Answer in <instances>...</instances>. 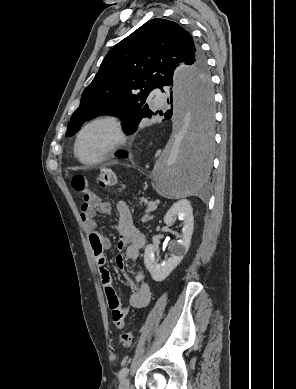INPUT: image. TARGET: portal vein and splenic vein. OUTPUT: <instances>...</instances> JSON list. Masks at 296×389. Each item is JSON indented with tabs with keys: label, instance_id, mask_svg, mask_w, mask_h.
Masks as SVG:
<instances>
[{
	"label": "portal vein and splenic vein",
	"instance_id": "portal-vein-and-splenic-vein-1",
	"mask_svg": "<svg viewBox=\"0 0 296 389\" xmlns=\"http://www.w3.org/2000/svg\"><path fill=\"white\" fill-rule=\"evenodd\" d=\"M159 201H155V202H150L149 204H148V208H150V209H152V210H155L156 208H157V203H158Z\"/></svg>",
	"mask_w": 296,
	"mask_h": 389
}]
</instances>
